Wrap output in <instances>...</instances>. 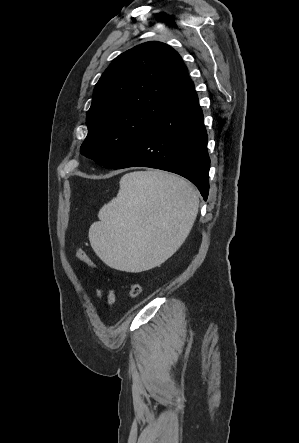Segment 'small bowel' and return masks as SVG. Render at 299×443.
I'll return each mask as SVG.
<instances>
[{"instance_id":"small-bowel-1","label":"small bowel","mask_w":299,"mask_h":443,"mask_svg":"<svg viewBox=\"0 0 299 443\" xmlns=\"http://www.w3.org/2000/svg\"><path fill=\"white\" fill-rule=\"evenodd\" d=\"M97 294H98L99 297H102V296H103V294H102V292H101L100 290L97 292ZM106 298H107L108 303H109V304H112V303L114 302V299H115L114 292H113L112 290H110V291L107 293Z\"/></svg>"}]
</instances>
